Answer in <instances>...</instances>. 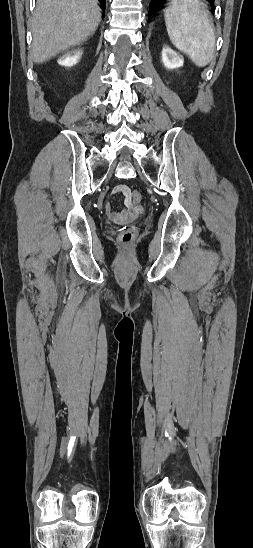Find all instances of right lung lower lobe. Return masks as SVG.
I'll return each instance as SVG.
<instances>
[{
  "label": "right lung lower lobe",
  "instance_id": "obj_1",
  "mask_svg": "<svg viewBox=\"0 0 253 548\" xmlns=\"http://www.w3.org/2000/svg\"><path fill=\"white\" fill-rule=\"evenodd\" d=\"M99 1L102 3V7H103V9H104L105 6H106V0H99Z\"/></svg>",
  "mask_w": 253,
  "mask_h": 548
}]
</instances>
